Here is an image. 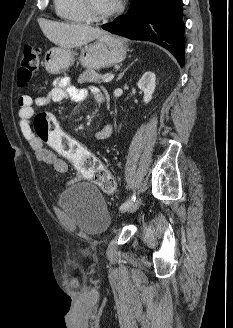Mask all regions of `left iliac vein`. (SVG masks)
<instances>
[{"instance_id": "4c4485c4", "label": "left iliac vein", "mask_w": 233, "mask_h": 328, "mask_svg": "<svg viewBox=\"0 0 233 328\" xmlns=\"http://www.w3.org/2000/svg\"><path fill=\"white\" fill-rule=\"evenodd\" d=\"M141 204V199L138 198L136 201H134L131 206L129 208H127L126 210L124 211H127V212H133L135 211Z\"/></svg>"}]
</instances>
